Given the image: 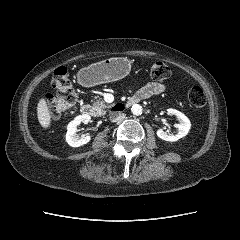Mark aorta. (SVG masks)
Instances as JSON below:
<instances>
[{
	"instance_id": "obj_1",
	"label": "aorta",
	"mask_w": 240,
	"mask_h": 240,
	"mask_svg": "<svg viewBox=\"0 0 240 240\" xmlns=\"http://www.w3.org/2000/svg\"><path fill=\"white\" fill-rule=\"evenodd\" d=\"M142 107L138 104H134L132 107H131V112L133 115H136V116H139L142 114Z\"/></svg>"
}]
</instances>
